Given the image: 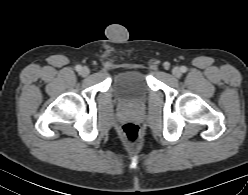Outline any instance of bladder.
<instances>
[{
    "label": "bladder",
    "instance_id": "obj_1",
    "mask_svg": "<svg viewBox=\"0 0 248 195\" xmlns=\"http://www.w3.org/2000/svg\"><path fill=\"white\" fill-rule=\"evenodd\" d=\"M114 89L119 98L136 102L146 98L149 86L144 72L136 68H127L113 80Z\"/></svg>",
    "mask_w": 248,
    "mask_h": 195
}]
</instances>
